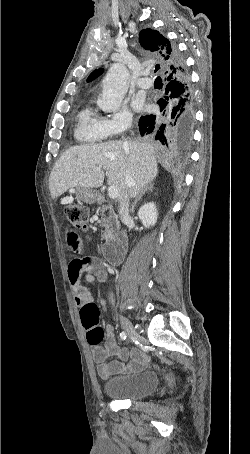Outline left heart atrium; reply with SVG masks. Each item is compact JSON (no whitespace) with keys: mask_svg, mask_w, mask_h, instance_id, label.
Instances as JSON below:
<instances>
[{"mask_svg":"<svg viewBox=\"0 0 250 454\" xmlns=\"http://www.w3.org/2000/svg\"><path fill=\"white\" fill-rule=\"evenodd\" d=\"M133 106L135 109L139 110L142 108V103L139 101V100H136L134 103H133Z\"/></svg>","mask_w":250,"mask_h":454,"instance_id":"obj_1","label":"left heart atrium"}]
</instances>
